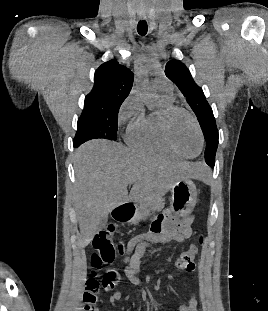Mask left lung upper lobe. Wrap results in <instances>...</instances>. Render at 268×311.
<instances>
[{
    "instance_id": "1",
    "label": "left lung upper lobe",
    "mask_w": 268,
    "mask_h": 311,
    "mask_svg": "<svg viewBox=\"0 0 268 311\" xmlns=\"http://www.w3.org/2000/svg\"><path fill=\"white\" fill-rule=\"evenodd\" d=\"M165 74L176 84L197 116L206 140L205 161L213 167L218 147V130L212 108L184 64L179 61H169L165 67Z\"/></svg>"
}]
</instances>
